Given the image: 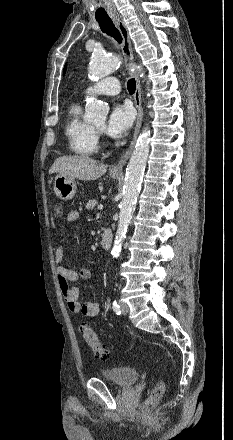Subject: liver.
I'll list each match as a JSON object with an SVG mask.
<instances>
[{
	"mask_svg": "<svg viewBox=\"0 0 233 440\" xmlns=\"http://www.w3.org/2000/svg\"><path fill=\"white\" fill-rule=\"evenodd\" d=\"M107 171V165L86 156H63L57 158L49 173H59L80 180H96Z\"/></svg>",
	"mask_w": 233,
	"mask_h": 440,
	"instance_id": "1",
	"label": "liver"
}]
</instances>
